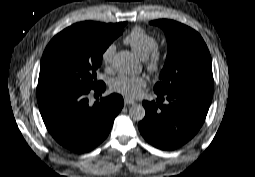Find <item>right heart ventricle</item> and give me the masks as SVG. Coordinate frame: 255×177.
Listing matches in <instances>:
<instances>
[{
	"label": "right heart ventricle",
	"instance_id": "e07e8e85",
	"mask_svg": "<svg viewBox=\"0 0 255 177\" xmlns=\"http://www.w3.org/2000/svg\"><path fill=\"white\" fill-rule=\"evenodd\" d=\"M124 42L141 59H146L157 46V38L141 27H135L124 39Z\"/></svg>",
	"mask_w": 255,
	"mask_h": 177
}]
</instances>
